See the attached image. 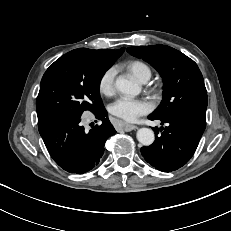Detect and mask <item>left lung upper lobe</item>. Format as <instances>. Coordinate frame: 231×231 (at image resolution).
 <instances>
[{
	"label": "left lung upper lobe",
	"instance_id": "left-lung-upper-lobe-1",
	"mask_svg": "<svg viewBox=\"0 0 231 231\" xmlns=\"http://www.w3.org/2000/svg\"><path fill=\"white\" fill-rule=\"evenodd\" d=\"M127 52L148 62L163 79V100L152 116L179 115L206 122V88L202 73L192 59L166 45L129 47Z\"/></svg>",
	"mask_w": 231,
	"mask_h": 231
}]
</instances>
